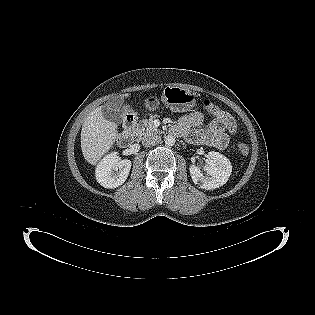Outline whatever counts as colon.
<instances>
[{
	"label": "colon",
	"instance_id": "colon-1",
	"mask_svg": "<svg viewBox=\"0 0 315 315\" xmlns=\"http://www.w3.org/2000/svg\"><path fill=\"white\" fill-rule=\"evenodd\" d=\"M202 105L205 108V110L208 113H212V115H215V117H221L224 118L225 121H227V125L229 127V130H235L237 127V120L235 117L232 116V114L228 111L223 113V109L221 106H215L212 102H210L207 99H204L202 101ZM237 150L241 155H247L249 152V148L246 144L240 143L237 145Z\"/></svg>",
	"mask_w": 315,
	"mask_h": 315
}]
</instances>
